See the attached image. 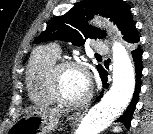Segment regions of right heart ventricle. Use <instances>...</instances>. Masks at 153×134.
Here are the masks:
<instances>
[{
	"mask_svg": "<svg viewBox=\"0 0 153 134\" xmlns=\"http://www.w3.org/2000/svg\"><path fill=\"white\" fill-rule=\"evenodd\" d=\"M58 60V53L51 47H39L30 56L25 79L28 96L34 104L50 106L56 103L48 89L47 74Z\"/></svg>",
	"mask_w": 153,
	"mask_h": 134,
	"instance_id": "1",
	"label": "right heart ventricle"
}]
</instances>
